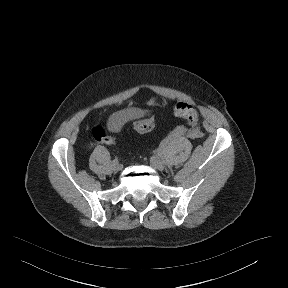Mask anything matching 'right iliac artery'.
<instances>
[{
  "mask_svg": "<svg viewBox=\"0 0 288 288\" xmlns=\"http://www.w3.org/2000/svg\"><path fill=\"white\" fill-rule=\"evenodd\" d=\"M117 161H118V159H117V158L113 159V162H117Z\"/></svg>",
  "mask_w": 288,
  "mask_h": 288,
  "instance_id": "obj_1",
  "label": "right iliac artery"
}]
</instances>
